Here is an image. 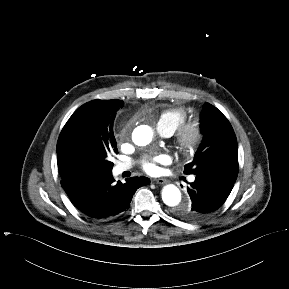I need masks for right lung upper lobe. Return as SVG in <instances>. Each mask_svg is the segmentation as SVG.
I'll use <instances>...</instances> for the list:
<instances>
[{"mask_svg":"<svg viewBox=\"0 0 289 289\" xmlns=\"http://www.w3.org/2000/svg\"><path fill=\"white\" fill-rule=\"evenodd\" d=\"M58 167L62 178V187L70 199L75 198L80 188L90 179L75 175L74 173L64 169L60 163H58Z\"/></svg>","mask_w":289,"mask_h":289,"instance_id":"cb5924a9","label":"right lung upper lobe"}]
</instances>
